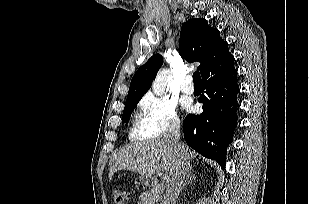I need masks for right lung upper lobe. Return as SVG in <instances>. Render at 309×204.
<instances>
[{"mask_svg":"<svg viewBox=\"0 0 309 204\" xmlns=\"http://www.w3.org/2000/svg\"><path fill=\"white\" fill-rule=\"evenodd\" d=\"M179 52L188 62H200L197 69L203 81L225 71L234 62L228 43L220 38L219 30L211 28L203 18L191 19L182 25ZM162 64L163 57L156 54L137 70L131 80L126 101L141 99Z\"/></svg>","mask_w":309,"mask_h":204,"instance_id":"1","label":"right lung upper lobe"}]
</instances>
